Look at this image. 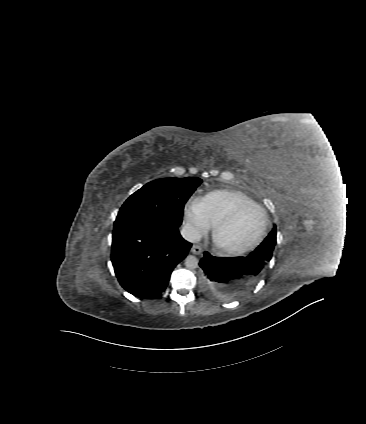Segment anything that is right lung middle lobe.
<instances>
[{
    "mask_svg": "<svg viewBox=\"0 0 366 424\" xmlns=\"http://www.w3.org/2000/svg\"><path fill=\"white\" fill-rule=\"evenodd\" d=\"M201 182L194 177L151 181L125 201L115 222L152 217L178 228L182 223L184 205Z\"/></svg>",
    "mask_w": 366,
    "mask_h": 424,
    "instance_id": "dd1d6c3e",
    "label": "right lung middle lobe"
}]
</instances>
